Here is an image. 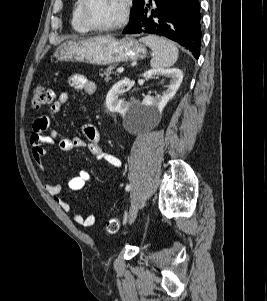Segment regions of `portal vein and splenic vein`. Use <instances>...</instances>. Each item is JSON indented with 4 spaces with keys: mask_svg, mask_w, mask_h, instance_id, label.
Wrapping results in <instances>:
<instances>
[{
    "mask_svg": "<svg viewBox=\"0 0 267 301\" xmlns=\"http://www.w3.org/2000/svg\"><path fill=\"white\" fill-rule=\"evenodd\" d=\"M117 72H118V73H123V72H124V68H123V67H119V68L117 69Z\"/></svg>",
    "mask_w": 267,
    "mask_h": 301,
    "instance_id": "1",
    "label": "portal vein and splenic vein"
}]
</instances>
